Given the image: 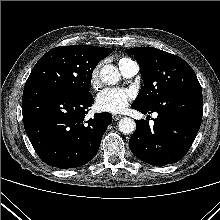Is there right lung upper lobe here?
<instances>
[{
    "label": "right lung upper lobe",
    "instance_id": "right-lung-upper-lobe-1",
    "mask_svg": "<svg viewBox=\"0 0 220 220\" xmlns=\"http://www.w3.org/2000/svg\"><path fill=\"white\" fill-rule=\"evenodd\" d=\"M84 46L86 49L91 51L92 53L96 54L97 56L101 57L102 59L110 55L113 50L110 48H104V47H96V46Z\"/></svg>",
    "mask_w": 220,
    "mask_h": 220
}]
</instances>
